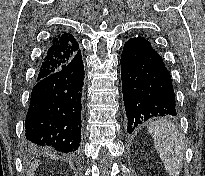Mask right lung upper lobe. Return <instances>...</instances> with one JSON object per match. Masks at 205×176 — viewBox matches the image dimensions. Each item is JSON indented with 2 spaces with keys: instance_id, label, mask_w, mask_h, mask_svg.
Segmentation results:
<instances>
[{
  "instance_id": "cb5924a9",
  "label": "right lung upper lobe",
  "mask_w": 205,
  "mask_h": 176,
  "mask_svg": "<svg viewBox=\"0 0 205 176\" xmlns=\"http://www.w3.org/2000/svg\"><path fill=\"white\" fill-rule=\"evenodd\" d=\"M79 51V45L72 34L66 32L58 34L45 52L37 79L55 72L68 63Z\"/></svg>"
}]
</instances>
